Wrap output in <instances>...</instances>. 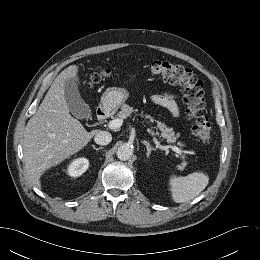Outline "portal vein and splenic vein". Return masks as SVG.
I'll use <instances>...</instances> for the list:
<instances>
[{"instance_id":"portal-vein-and-splenic-vein-1","label":"portal vein and splenic vein","mask_w":260,"mask_h":260,"mask_svg":"<svg viewBox=\"0 0 260 260\" xmlns=\"http://www.w3.org/2000/svg\"><path fill=\"white\" fill-rule=\"evenodd\" d=\"M122 124H123V119L117 118V119H114V120L110 121V122L108 123V127H109L110 129H116V128L121 127ZM169 148H171V149H172L174 152H176L177 154H181V150H180L178 147L173 146V145H170Z\"/></svg>"}]
</instances>
